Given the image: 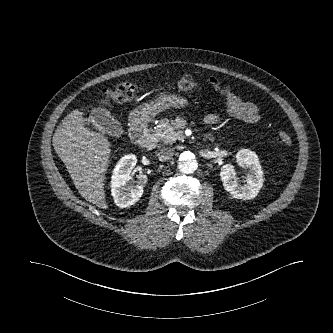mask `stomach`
Returning <instances> with one entry per match:
<instances>
[{"label":"stomach","instance_id":"stomach-1","mask_svg":"<svg viewBox=\"0 0 333 333\" xmlns=\"http://www.w3.org/2000/svg\"><path fill=\"white\" fill-rule=\"evenodd\" d=\"M185 97L164 93L157 99L138 106L130 113V121L134 125H143L151 120L152 117L170 107H184L188 104Z\"/></svg>","mask_w":333,"mask_h":333}]
</instances>
